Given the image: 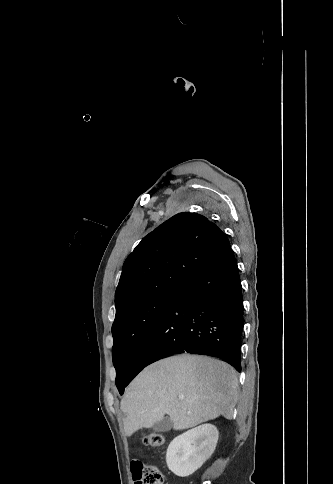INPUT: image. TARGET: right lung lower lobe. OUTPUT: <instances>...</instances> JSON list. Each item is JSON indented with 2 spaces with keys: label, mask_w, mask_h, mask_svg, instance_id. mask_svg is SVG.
<instances>
[{
  "label": "right lung lower lobe",
  "mask_w": 333,
  "mask_h": 484,
  "mask_svg": "<svg viewBox=\"0 0 333 484\" xmlns=\"http://www.w3.org/2000/svg\"><path fill=\"white\" fill-rule=\"evenodd\" d=\"M242 287L232 249L177 294L140 345L130 381L147 365L173 354L221 358L241 372Z\"/></svg>",
  "instance_id": "1"
}]
</instances>
